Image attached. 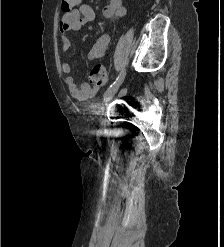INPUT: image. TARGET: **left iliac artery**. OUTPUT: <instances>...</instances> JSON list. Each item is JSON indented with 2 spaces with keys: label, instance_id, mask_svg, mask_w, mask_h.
Returning <instances> with one entry per match:
<instances>
[{
  "label": "left iliac artery",
  "instance_id": "obj_1",
  "mask_svg": "<svg viewBox=\"0 0 224 247\" xmlns=\"http://www.w3.org/2000/svg\"><path fill=\"white\" fill-rule=\"evenodd\" d=\"M125 75H126V70L123 69L120 74L118 75V77L116 78V80L109 86V88L119 84V83H122V81L124 80L125 78Z\"/></svg>",
  "mask_w": 224,
  "mask_h": 247
}]
</instances>
